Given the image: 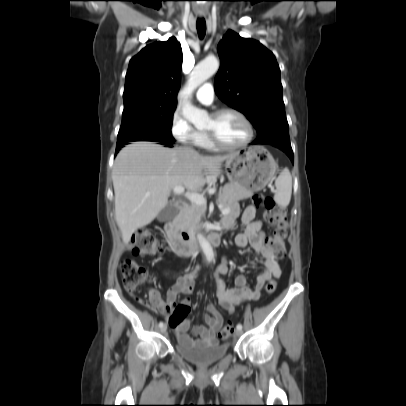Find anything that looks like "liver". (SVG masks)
<instances>
[{"instance_id": "1", "label": "liver", "mask_w": 406, "mask_h": 406, "mask_svg": "<svg viewBox=\"0 0 406 406\" xmlns=\"http://www.w3.org/2000/svg\"><path fill=\"white\" fill-rule=\"evenodd\" d=\"M234 154L202 156L184 148H165L148 141H137L117 155L112 180L115 219L124 244L140 227L150 224L167 205L176 186L195 192L212 184L221 165Z\"/></svg>"}]
</instances>
